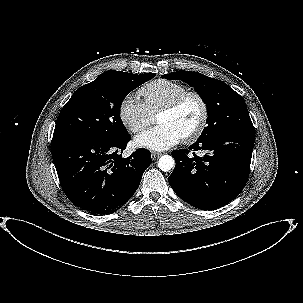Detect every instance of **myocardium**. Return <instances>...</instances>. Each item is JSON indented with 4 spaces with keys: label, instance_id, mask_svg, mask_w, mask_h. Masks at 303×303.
Wrapping results in <instances>:
<instances>
[{
    "label": "myocardium",
    "instance_id": "1",
    "mask_svg": "<svg viewBox=\"0 0 303 303\" xmlns=\"http://www.w3.org/2000/svg\"><path fill=\"white\" fill-rule=\"evenodd\" d=\"M190 97H193L198 101L200 108H201V115H200V120H199L197 126L195 127V129L182 137V140L185 142H193V141L197 140L202 135V133L204 132V130L207 126L209 110H208V105H207L205 99L203 98V96L196 91H185V92L181 93L180 95H178L177 97H175L173 100H171L168 104L163 106L158 111V114L174 112L175 110H177L180 107V105L186 99H188Z\"/></svg>",
    "mask_w": 303,
    "mask_h": 303
}]
</instances>
